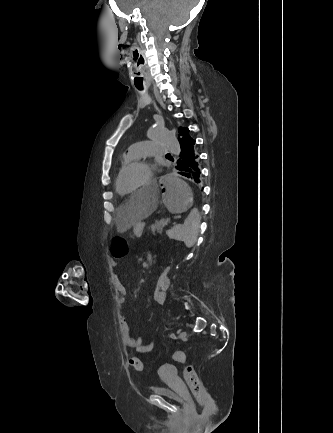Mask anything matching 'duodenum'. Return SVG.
<instances>
[{"label": "duodenum", "instance_id": "1", "mask_svg": "<svg viewBox=\"0 0 333 433\" xmlns=\"http://www.w3.org/2000/svg\"><path fill=\"white\" fill-rule=\"evenodd\" d=\"M148 260L151 261V256H148Z\"/></svg>", "mask_w": 333, "mask_h": 433}]
</instances>
